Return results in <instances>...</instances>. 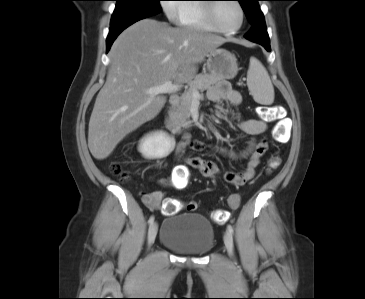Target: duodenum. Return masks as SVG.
Listing matches in <instances>:
<instances>
[{"instance_id": "1", "label": "duodenum", "mask_w": 365, "mask_h": 299, "mask_svg": "<svg viewBox=\"0 0 365 299\" xmlns=\"http://www.w3.org/2000/svg\"><path fill=\"white\" fill-rule=\"evenodd\" d=\"M179 99L180 98H179L178 94H173L169 97L168 104H169L170 109H172L173 107L178 105ZM165 123L169 129L176 130V131L180 130V126H181L180 123L176 122L175 120L172 119L170 112H168L165 116Z\"/></svg>"}]
</instances>
